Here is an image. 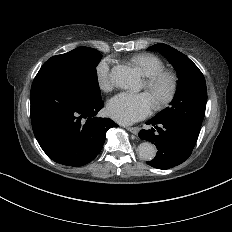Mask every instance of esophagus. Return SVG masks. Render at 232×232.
Wrapping results in <instances>:
<instances>
[{
  "label": "esophagus",
  "instance_id": "1",
  "mask_svg": "<svg viewBox=\"0 0 232 232\" xmlns=\"http://www.w3.org/2000/svg\"><path fill=\"white\" fill-rule=\"evenodd\" d=\"M128 131H130L131 133H133L134 135H137L139 132V128L138 127H127L126 128Z\"/></svg>",
  "mask_w": 232,
  "mask_h": 232
}]
</instances>
